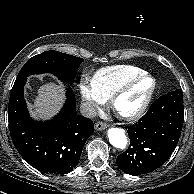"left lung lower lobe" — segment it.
<instances>
[{"instance_id":"0a47b994","label":"left lung lower lobe","mask_w":194,"mask_h":194,"mask_svg":"<svg viewBox=\"0 0 194 194\" xmlns=\"http://www.w3.org/2000/svg\"><path fill=\"white\" fill-rule=\"evenodd\" d=\"M183 93L177 89L154 101L135 124L126 126L130 145L117 157L118 167L130 175L162 166L174 151L183 127Z\"/></svg>"}]
</instances>
